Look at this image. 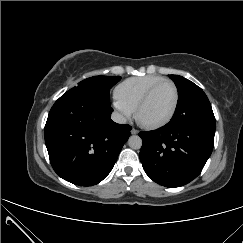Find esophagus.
Instances as JSON below:
<instances>
[{"mask_svg":"<svg viewBox=\"0 0 243 243\" xmlns=\"http://www.w3.org/2000/svg\"><path fill=\"white\" fill-rule=\"evenodd\" d=\"M137 133H138V130H137V129H134V128H133V129L131 130V134L135 135V134H137Z\"/></svg>","mask_w":243,"mask_h":243,"instance_id":"1","label":"esophagus"}]
</instances>
